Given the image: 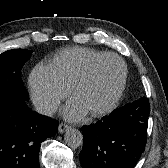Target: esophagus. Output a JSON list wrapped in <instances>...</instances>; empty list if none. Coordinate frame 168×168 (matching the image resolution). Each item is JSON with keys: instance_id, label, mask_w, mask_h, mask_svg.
<instances>
[{"instance_id": "obj_1", "label": "esophagus", "mask_w": 168, "mask_h": 168, "mask_svg": "<svg viewBox=\"0 0 168 168\" xmlns=\"http://www.w3.org/2000/svg\"><path fill=\"white\" fill-rule=\"evenodd\" d=\"M69 129H70V126L65 123L59 124L58 130L60 133H64V132L68 131Z\"/></svg>"}]
</instances>
